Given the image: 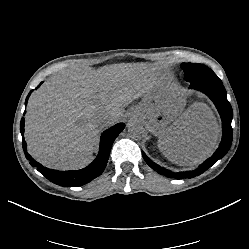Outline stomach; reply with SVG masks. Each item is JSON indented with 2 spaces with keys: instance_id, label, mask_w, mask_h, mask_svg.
<instances>
[{
  "instance_id": "0dacf381",
  "label": "stomach",
  "mask_w": 249,
  "mask_h": 249,
  "mask_svg": "<svg viewBox=\"0 0 249 249\" xmlns=\"http://www.w3.org/2000/svg\"><path fill=\"white\" fill-rule=\"evenodd\" d=\"M184 100V94L179 89L168 85L158 87L146 106L148 120L158 128L168 126L179 112Z\"/></svg>"
}]
</instances>
